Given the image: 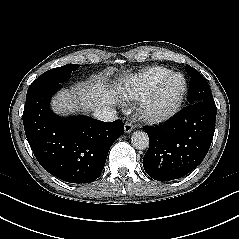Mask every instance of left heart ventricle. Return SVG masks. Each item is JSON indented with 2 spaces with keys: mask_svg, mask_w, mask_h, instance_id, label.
<instances>
[{
  "mask_svg": "<svg viewBox=\"0 0 239 239\" xmlns=\"http://www.w3.org/2000/svg\"><path fill=\"white\" fill-rule=\"evenodd\" d=\"M182 85L180 78H173L166 83L160 92L155 96L152 105L155 109L166 108L178 94Z\"/></svg>",
  "mask_w": 239,
  "mask_h": 239,
  "instance_id": "obj_1",
  "label": "left heart ventricle"
}]
</instances>
